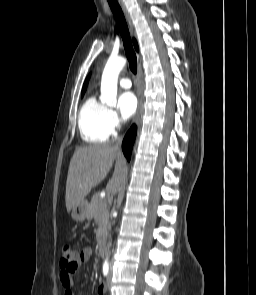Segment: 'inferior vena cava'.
<instances>
[{"label":"inferior vena cava","mask_w":256,"mask_h":295,"mask_svg":"<svg viewBox=\"0 0 256 295\" xmlns=\"http://www.w3.org/2000/svg\"><path fill=\"white\" fill-rule=\"evenodd\" d=\"M121 142H122V138L119 137L118 140H117V142H116V144H115V146H116L117 148H119V146L121 145Z\"/></svg>","instance_id":"602c4592"}]
</instances>
